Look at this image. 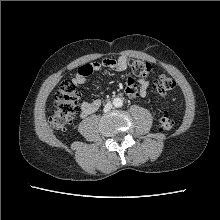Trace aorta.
<instances>
[{"instance_id": "1", "label": "aorta", "mask_w": 220, "mask_h": 220, "mask_svg": "<svg viewBox=\"0 0 220 220\" xmlns=\"http://www.w3.org/2000/svg\"><path fill=\"white\" fill-rule=\"evenodd\" d=\"M113 105H114L115 107H117V108L122 107V105H123L122 99H121V98H115V99L113 100Z\"/></svg>"}]
</instances>
